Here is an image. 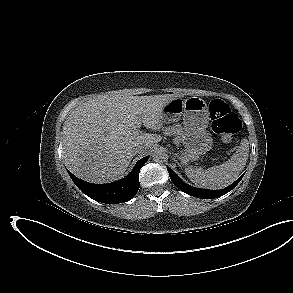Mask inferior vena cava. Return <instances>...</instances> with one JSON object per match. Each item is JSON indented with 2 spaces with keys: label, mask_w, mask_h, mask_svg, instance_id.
Returning a JSON list of instances; mask_svg holds the SVG:
<instances>
[{
  "label": "inferior vena cava",
  "mask_w": 293,
  "mask_h": 293,
  "mask_svg": "<svg viewBox=\"0 0 293 293\" xmlns=\"http://www.w3.org/2000/svg\"><path fill=\"white\" fill-rule=\"evenodd\" d=\"M145 147L142 146V145H137L135 148H134V153L137 154V153H142L144 151Z\"/></svg>",
  "instance_id": "602c4592"
}]
</instances>
